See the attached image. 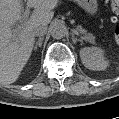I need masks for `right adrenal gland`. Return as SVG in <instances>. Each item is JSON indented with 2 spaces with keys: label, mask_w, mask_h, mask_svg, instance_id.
<instances>
[{
  "label": "right adrenal gland",
  "mask_w": 119,
  "mask_h": 119,
  "mask_svg": "<svg viewBox=\"0 0 119 119\" xmlns=\"http://www.w3.org/2000/svg\"><path fill=\"white\" fill-rule=\"evenodd\" d=\"M43 39H44L43 35L39 37L38 41L35 43L34 50H36L38 46L39 47L42 46Z\"/></svg>",
  "instance_id": "obj_1"
}]
</instances>
